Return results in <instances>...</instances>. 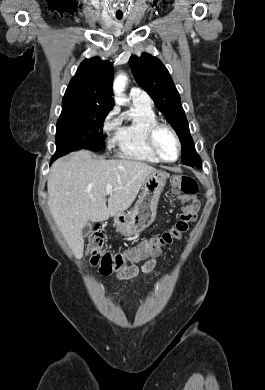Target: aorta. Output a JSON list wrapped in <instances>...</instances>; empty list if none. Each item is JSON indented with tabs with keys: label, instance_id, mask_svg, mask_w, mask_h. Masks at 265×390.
I'll use <instances>...</instances> for the list:
<instances>
[{
	"label": "aorta",
	"instance_id": "aorta-1",
	"mask_svg": "<svg viewBox=\"0 0 265 390\" xmlns=\"http://www.w3.org/2000/svg\"><path fill=\"white\" fill-rule=\"evenodd\" d=\"M127 80V76L124 73H121L115 78L113 83L114 99L119 105H124L126 103L123 92L125 90Z\"/></svg>",
	"mask_w": 265,
	"mask_h": 390
}]
</instances>
